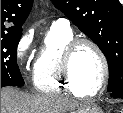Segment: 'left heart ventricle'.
<instances>
[{
  "instance_id": "left-heart-ventricle-1",
  "label": "left heart ventricle",
  "mask_w": 123,
  "mask_h": 113,
  "mask_svg": "<svg viewBox=\"0 0 123 113\" xmlns=\"http://www.w3.org/2000/svg\"><path fill=\"white\" fill-rule=\"evenodd\" d=\"M102 64L96 51L83 45L72 61V75L76 86L86 92L94 91L102 80Z\"/></svg>"
}]
</instances>
